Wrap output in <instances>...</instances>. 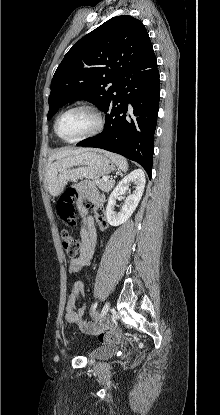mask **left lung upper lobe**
Segmentation results:
<instances>
[{"label":"left lung upper lobe","instance_id":"1","mask_svg":"<svg viewBox=\"0 0 220 415\" xmlns=\"http://www.w3.org/2000/svg\"><path fill=\"white\" fill-rule=\"evenodd\" d=\"M153 55L140 20L128 15L111 18L66 53L51 82L47 118L78 97H86L103 110L114 94L116 81Z\"/></svg>","mask_w":220,"mask_h":415}]
</instances>
